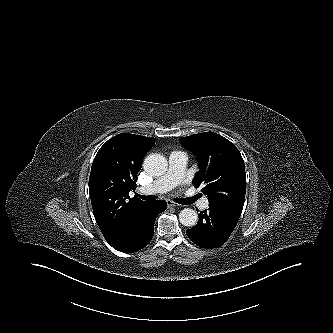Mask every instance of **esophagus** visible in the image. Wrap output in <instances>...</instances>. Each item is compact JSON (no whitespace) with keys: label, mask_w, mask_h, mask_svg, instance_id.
Returning <instances> with one entry per match:
<instances>
[{"label":"esophagus","mask_w":333,"mask_h":333,"mask_svg":"<svg viewBox=\"0 0 333 333\" xmlns=\"http://www.w3.org/2000/svg\"><path fill=\"white\" fill-rule=\"evenodd\" d=\"M167 206H168L169 208H171V207H177L178 204L174 203V202L171 201V200H167Z\"/></svg>","instance_id":"34e87169"}]
</instances>
